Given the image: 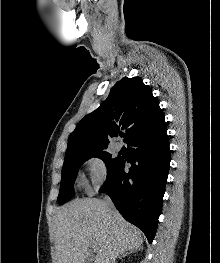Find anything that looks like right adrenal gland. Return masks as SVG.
Wrapping results in <instances>:
<instances>
[{"mask_svg": "<svg viewBox=\"0 0 220 263\" xmlns=\"http://www.w3.org/2000/svg\"><path fill=\"white\" fill-rule=\"evenodd\" d=\"M128 254H129L128 251L122 252V253L120 254L119 258L125 257V256L128 255Z\"/></svg>", "mask_w": 220, "mask_h": 263, "instance_id": "right-adrenal-gland-1", "label": "right adrenal gland"}]
</instances>
